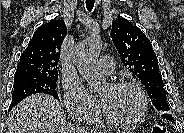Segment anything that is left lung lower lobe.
Masks as SVG:
<instances>
[{"label": "left lung lower lobe", "instance_id": "1", "mask_svg": "<svg viewBox=\"0 0 184 133\" xmlns=\"http://www.w3.org/2000/svg\"><path fill=\"white\" fill-rule=\"evenodd\" d=\"M162 117L169 120V121H171V122H174V119H173L171 114L165 113V114H163Z\"/></svg>", "mask_w": 184, "mask_h": 133}]
</instances>
